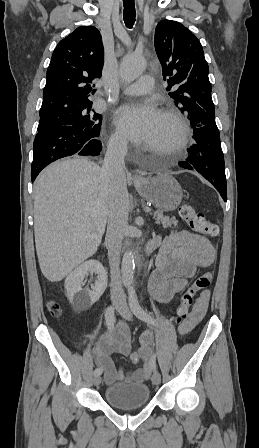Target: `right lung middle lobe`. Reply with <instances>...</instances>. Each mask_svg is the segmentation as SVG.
<instances>
[{
	"mask_svg": "<svg viewBox=\"0 0 259 448\" xmlns=\"http://www.w3.org/2000/svg\"><path fill=\"white\" fill-rule=\"evenodd\" d=\"M91 105L62 111L40 114L38 132L56 126H73L78 130L99 133L102 115L96 113Z\"/></svg>",
	"mask_w": 259,
	"mask_h": 448,
	"instance_id": "obj_1",
	"label": "right lung middle lobe"
}]
</instances>
